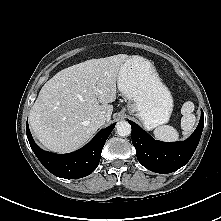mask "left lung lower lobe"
Segmentation results:
<instances>
[{
	"label": "left lung lower lobe",
	"instance_id": "1",
	"mask_svg": "<svg viewBox=\"0 0 221 221\" xmlns=\"http://www.w3.org/2000/svg\"><path fill=\"white\" fill-rule=\"evenodd\" d=\"M132 127V143L138 161L156 173H171L184 166L194 154L204 126V114L193 134L183 142L165 143L153 139L137 124L128 120Z\"/></svg>",
	"mask_w": 221,
	"mask_h": 221
}]
</instances>
